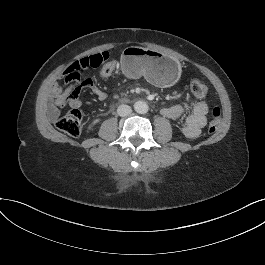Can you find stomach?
I'll return each instance as SVG.
<instances>
[{
  "instance_id": "obj_1",
  "label": "stomach",
  "mask_w": 265,
  "mask_h": 265,
  "mask_svg": "<svg viewBox=\"0 0 265 265\" xmlns=\"http://www.w3.org/2000/svg\"><path fill=\"white\" fill-rule=\"evenodd\" d=\"M120 64L127 77L144 76L149 82L160 87L174 85L181 72L180 63L174 57L138 46L125 48Z\"/></svg>"
}]
</instances>
